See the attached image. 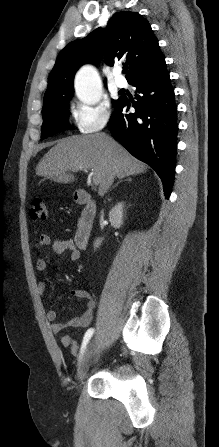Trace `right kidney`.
I'll return each mask as SVG.
<instances>
[{
	"label": "right kidney",
	"mask_w": 219,
	"mask_h": 447,
	"mask_svg": "<svg viewBox=\"0 0 219 447\" xmlns=\"http://www.w3.org/2000/svg\"><path fill=\"white\" fill-rule=\"evenodd\" d=\"M123 208L124 203H117L109 212V221L111 226L116 229H119L123 225ZM102 243L101 238H97L94 242V248H98Z\"/></svg>",
	"instance_id": "right-kidney-1"
}]
</instances>
